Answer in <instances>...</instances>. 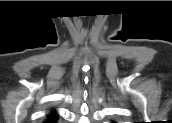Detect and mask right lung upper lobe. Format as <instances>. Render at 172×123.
Instances as JSON below:
<instances>
[{
	"instance_id": "obj_1",
	"label": "right lung upper lobe",
	"mask_w": 172,
	"mask_h": 123,
	"mask_svg": "<svg viewBox=\"0 0 172 123\" xmlns=\"http://www.w3.org/2000/svg\"><path fill=\"white\" fill-rule=\"evenodd\" d=\"M56 117H57V114L54 112L53 114H50V115H49L48 121H49L50 123H54V120H55Z\"/></svg>"
}]
</instances>
